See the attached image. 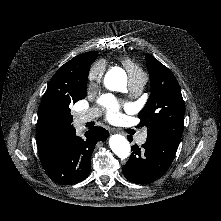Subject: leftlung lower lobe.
Returning <instances> with one entry per match:
<instances>
[{
    "instance_id": "left-lung-lower-lobe-1",
    "label": "left lung lower lobe",
    "mask_w": 221,
    "mask_h": 221,
    "mask_svg": "<svg viewBox=\"0 0 221 221\" xmlns=\"http://www.w3.org/2000/svg\"><path fill=\"white\" fill-rule=\"evenodd\" d=\"M180 140L173 137L147 138L142 148L136 144L123 166L125 178L133 183L148 184L165 174L170 167Z\"/></svg>"
}]
</instances>
